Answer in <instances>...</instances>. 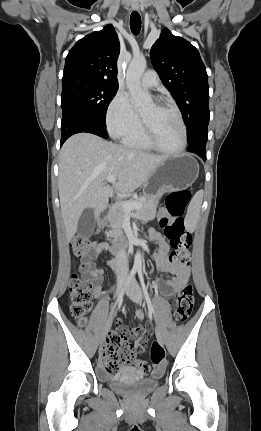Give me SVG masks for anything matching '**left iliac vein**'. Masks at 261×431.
Returning a JSON list of instances; mask_svg holds the SVG:
<instances>
[{"label": "left iliac vein", "instance_id": "obj_1", "mask_svg": "<svg viewBox=\"0 0 261 431\" xmlns=\"http://www.w3.org/2000/svg\"><path fill=\"white\" fill-rule=\"evenodd\" d=\"M128 296L137 304H142L143 296L141 289L135 279H132L131 283L127 287ZM156 337L161 345H164V337L160 327L156 326L155 329Z\"/></svg>", "mask_w": 261, "mask_h": 431}]
</instances>
